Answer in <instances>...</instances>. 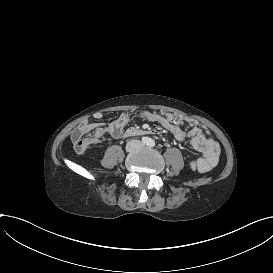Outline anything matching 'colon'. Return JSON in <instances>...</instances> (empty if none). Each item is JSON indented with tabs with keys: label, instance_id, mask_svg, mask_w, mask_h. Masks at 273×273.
<instances>
[{
	"label": "colon",
	"instance_id": "colon-1",
	"mask_svg": "<svg viewBox=\"0 0 273 273\" xmlns=\"http://www.w3.org/2000/svg\"><path fill=\"white\" fill-rule=\"evenodd\" d=\"M87 129L83 125H77L73 129L71 145L79 152H85L89 148V143L85 138Z\"/></svg>",
	"mask_w": 273,
	"mask_h": 273
}]
</instances>
